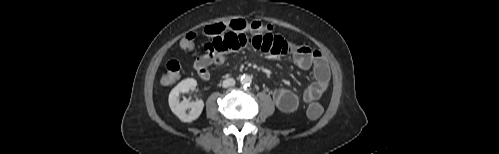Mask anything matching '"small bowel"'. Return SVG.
<instances>
[{"label":"small bowel","mask_w":499,"mask_h":154,"mask_svg":"<svg viewBox=\"0 0 499 154\" xmlns=\"http://www.w3.org/2000/svg\"><path fill=\"white\" fill-rule=\"evenodd\" d=\"M248 48L273 56H289L299 68L303 70L312 68L314 81L304 90L301 97L284 87H278L273 91V101L280 111L291 113L301 102L311 103L327 91L330 70L324 55L319 50L271 32L227 31L216 36L204 45L205 53L195 60L194 69L200 78L209 80L210 65H221L225 62L227 54Z\"/></svg>","instance_id":"c3829d8e"}]
</instances>
